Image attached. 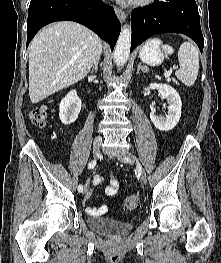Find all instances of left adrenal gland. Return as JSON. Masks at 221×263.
Instances as JSON below:
<instances>
[{
    "instance_id": "1",
    "label": "left adrenal gland",
    "mask_w": 221,
    "mask_h": 263,
    "mask_svg": "<svg viewBox=\"0 0 221 263\" xmlns=\"http://www.w3.org/2000/svg\"><path fill=\"white\" fill-rule=\"evenodd\" d=\"M142 70L143 72H148L149 69L146 66H142L141 63H139L138 68H137V74L139 71Z\"/></svg>"
}]
</instances>
